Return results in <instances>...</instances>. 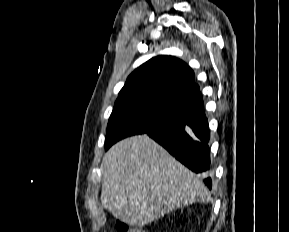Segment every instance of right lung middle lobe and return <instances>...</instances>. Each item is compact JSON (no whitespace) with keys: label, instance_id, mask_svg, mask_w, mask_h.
Here are the masks:
<instances>
[{"label":"right lung middle lobe","instance_id":"dd1d6c3e","mask_svg":"<svg viewBox=\"0 0 289 232\" xmlns=\"http://www.w3.org/2000/svg\"><path fill=\"white\" fill-rule=\"evenodd\" d=\"M183 112L143 99H117L110 116L105 150L127 136L146 133L177 119Z\"/></svg>","mask_w":289,"mask_h":232}]
</instances>
